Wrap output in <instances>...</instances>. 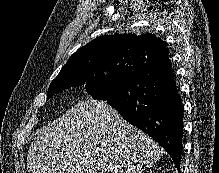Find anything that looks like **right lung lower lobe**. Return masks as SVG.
Segmentation results:
<instances>
[{
  "instance_id": "1",
  "label": "right lung lower lobe",
  "mask_w": 219,
  "mask_h": 173,
  "mask_svg": "<svg viewBox=\"0 0 219 173\" xmlns=\"http://www.w3.org/2000/svg\"><path fill=\"white\" fill-rule=\"evenodd\" d=\"M105 101L158 142L180 170L184 117L170 60L139 64L122 77Z\"/></svg>"
}]
</instances>
